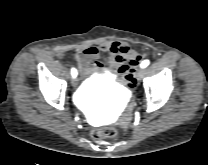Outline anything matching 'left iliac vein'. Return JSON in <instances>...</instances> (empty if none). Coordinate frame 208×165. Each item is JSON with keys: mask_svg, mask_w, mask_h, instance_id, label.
I'll return each mask as SVG.
<instances>
[{"mask_svg": "<svg viewBox=\"0 0 208 165\" xmlns=\"http://www.w3.org/2000/svg\"><path fill=\"white\" fill-rule=\"evenodd\" d=\"M144 72V69H139L136 73V79L139 81L142 80V78L144 77Z\"/></svg>", "mask_w": 208, "mask_h": 165, "instance_id": "1", "label": "left iliac vein"}]
</instances>
